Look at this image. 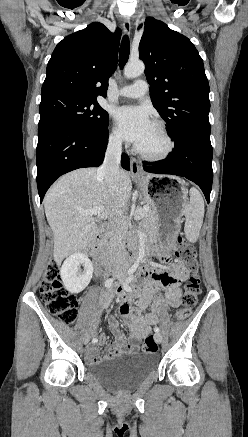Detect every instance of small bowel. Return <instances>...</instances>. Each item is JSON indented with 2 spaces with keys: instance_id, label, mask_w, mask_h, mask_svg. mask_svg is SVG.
Wrapping results in <instances>:
<instances>
[{
  "instance_id": "c3829d8e",
  "label": "small bowel",
  "mask_w": 248,
  "mask_h": 437,
  "mask_svg": "<svg viewBox=\"0 0 248 437\" xmlns=\"http://www.w3.org/2000/svg\"><path fill=\"white\" fill-rule=\"evenodd\" d=\"M163 264V270L147 269L139 280L143 287L139 297V309L130 308V297L122 295L121 287L114 285L105 291L100 297V307L108 309L115 297H121V313L129 320V328L133 341L128 342L125 334L121 331L116 319L109 321L111 332L115 341L111 344L106 343V336H99V344L104 351L100 353L95 343L89 345L86 350V357L90 363H99L109 360L125 351H135L138 345L134 341H140L148 336L151 327L158 322L159 314L167 307L176 308L181 303L182 289L181 284L188 276L185 266L178 263H169V256L158 253ZM164 293V297L161 295ZM152 306V312L141 315L140 310ZM98 342V341H97ZM96 342V343H97Z\"/></svg>"
}]
</instances>
